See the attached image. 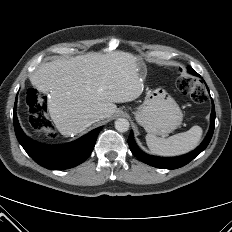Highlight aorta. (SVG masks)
<instances>
[{
	"label": "aorta",
	"mask_w": 232,
	"mask_h": 232,
	"mask_svg": "<svg viewBox=\"0 0 232 232\" xmlns=\"http://www.w3.org/2000/svg\"><path fill=\"white\" fill-rule=\"evenodd\" d=\"M130 124L127 119L119 118L115 121V129L118 132H126L129 130Z\"/></svg>",
	"instance_id": "aorta-1"
}]
</instances>
